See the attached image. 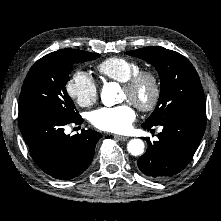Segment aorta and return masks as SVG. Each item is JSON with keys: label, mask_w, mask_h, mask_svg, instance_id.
<instances>
[{"label": "aorta", "mask_w": 221, "mask_h": 221, "mask_svg": "<svg viewBox=\"0 0 221 221\" xmlns=\"http://www.w3.org/2000/svg\"><path fill=\"white\" fill-rule=\"evenodd\" d=\"M120 87L117 83H106L101 91V100L105 106H113ZM128 152L133 156H139L144 152V143L141 139H131L127 144Z\"/></svg>", "instance_id": "obj_1"}]
</instances>
